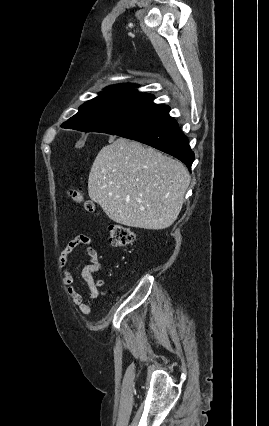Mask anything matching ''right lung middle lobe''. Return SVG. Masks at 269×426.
<instances>
[{"label":"right lung middle lobe","instance_id":"right-lung-middle-lobe-1","mask_svg":"<svg viewBox=\"0 0 269 426\" xmlns=\"http://www.w3.org/2000/svg\"><path fill=\"white\" fill-rule=\"evenodd\" d=\"M153 99V95L139 92L101 94L84 103L64 126L117 135L144 120L157 106Z\"/></svg>","mask_w":269,"mask_h":426}]
</instances>
